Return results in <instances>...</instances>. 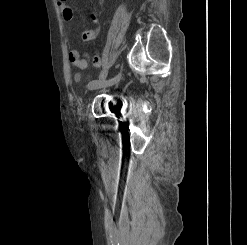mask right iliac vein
Returning a JSON list of instances; mask_svg holds the SVG:
<instances>
[{"instance_id":"1","label":"right iliac vein","mask_w":247,"mask_h":245,"mask_svg":"<svg viewBox=\"0 0 247 245\" xmlns=\"http://www.w3.org/2000/svg\"><path fill=\"white\" fill-rule=\"evenodd\" d=\"M121 77V74H118L115 78L111 79V80H107L105 82H100V84L98 85V87H90L92 90H98L104 87H108V86H112L114 83H116L117 81H119Z\"/></svg>"}]
</instances>
